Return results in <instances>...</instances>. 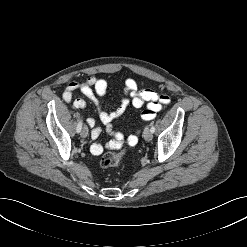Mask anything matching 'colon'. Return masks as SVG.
Masks as SVG:
<instances>
[{
	"instance_id": "5ec220e1",
	"label": "colon",
	"mask_w": 247,
	"mask_h": 247,
	"mask_svg": "<svg viewBox=\"0 0 247 247\" xmlns=\"http://www.w3.org/2000/svg\"><path fill=\"white\" fill-rule=\"evenodd\" d=\"M131 143L135 144L136 142L133 141ZM111 148L113 149L112 151H108V152L104 153L100 158V165L103 168L116 167L120 163V161H121V159L125 153V149H122L120 147L119 141L113 142L111 144Z\"/></svg>"
}]
</instances>
